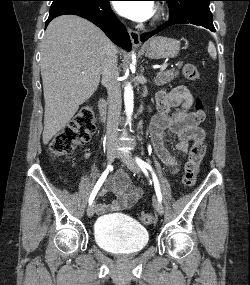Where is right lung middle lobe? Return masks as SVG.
Wrapping results in <instances>:
<instances>
[{"label":"right lung middle lobe","mask_w":250,"mask_h":285,"mask_svg":"<svg viewBox=\"0 0 250 285\" xmlns=\"http://www.w3.org/2000/svg\"><path fill=\"white\" fill-rule=\"evenodd\" d=\"M53 3L50 7V15L62 12L72 8H92L98 7L105 0H52Z\"/></svg>","instance_id":"right-lung-middle-lobe-1"}]
</instances>
